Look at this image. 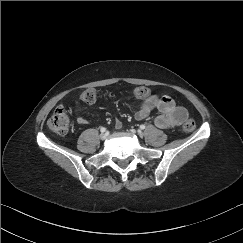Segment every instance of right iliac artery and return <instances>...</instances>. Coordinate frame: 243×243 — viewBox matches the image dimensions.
I'll return each mask as SVG.
<instances>
[{
  "mask_svg": "<svg viewBox=\"0 0 243 243\" xmlns=\"http://www.w3.org/2000/svg\"><path fill=\"white\" fill-rule=\"evenodd\" d=\"M100 131H101L102 133H104V132H106V128L102 127V128L100 129Z\"/></svg>",
  "mask_w": 243,
  "mask_h": 243,
  "instance_id": "obj_1",
  "label": "right iliac artery"
}]
</instances>
